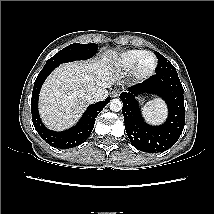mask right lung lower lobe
Listing matches in <instances>:
<instances>
[{
  "label": "right lung lower lobe",
  "mask_w": 214,
  "mask_h": 214,
  "mask_svg": "<svg viewBox=\"0 0 214 214\" xmlns=\"http://www.w3.org/2000/svg\"><path fill=\"white\" fill-rule=\"evenodd\" d=\"M55 68L56 66H44L35 80L31 98L32 121L38 134L48 144L55 148L68 149L82 144L90 136L94 128L95 118L109 102L110 97L105 101L91 104L74 127L62 132L47 129L39 116L38 98L43 82Z\"/></svg>",
  "instance_id": "98d812e1"
}]
</instances>
